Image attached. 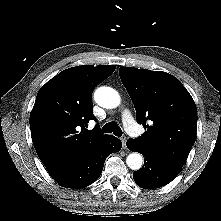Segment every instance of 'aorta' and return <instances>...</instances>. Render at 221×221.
<instances>
[{
    "label": "aorta",
    "instance_id": "obj_1",
    "mask_svg": "<svg viewBox=\"0 0 221 221\" xmlns=\"http://www.w3.org/2000/svg\"><path fill=\"white\" fill-rule=\"evenodd\" d=\"M96 103L107 109H113L120 105L119 93L111 87H99L94 93ZM127 166L132 170H139L142 167L143 157L139 153H131L126 158Z\"/></svg>",
    "mask_w": 221,
    "mask_h": 221
}]
</instances>
